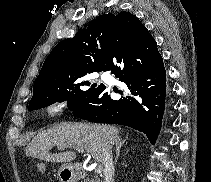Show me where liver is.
Returning <instances> with one entry per match:
<instances>
[{
    "mask_svg": "<svg viewBox=\"0 0 211 182\" xmlns=\"http://www.w3.org/2000/svg\"><path fill=\"white\" fill-rule=\"evenodd\" d=\"M120 139L117 127L88 123H59L42 131L25 148L27 156L47 162L66 163L76 158L74 152L50 154L54 146L60 149L84 148L92 157L104 164V149L112 148Z\"/></svg>",
    "mask_w": 211,
    "mask_h": 182,
    "instance_id": "6515ba94",
    "label": "liver"
}]
</instances>
